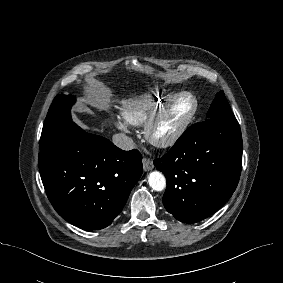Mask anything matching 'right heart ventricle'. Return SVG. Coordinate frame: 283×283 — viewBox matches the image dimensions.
I'll use <instances>...</instances> for the list:
<instances>
[{
  "label": "right heart ventricle",
  "instance_id": "obj_1",
  "mask_svg": "<svg viewBox=\"0 0 283 283\" xmlns=\"http://www.w3.org/2000/svg\"><path fill=\"white\" fill-rule=\"evenodd\" d=\"M169 96L157 90H148L132 99L127 100L122 107L124 119L132 125H142L157 108V106Z\"/></svg>",
  "mask_w": 283,
  "mask_h": 283
}]
</instances>
